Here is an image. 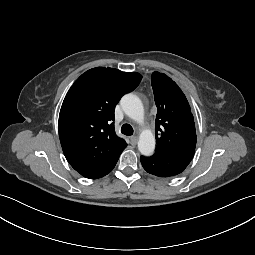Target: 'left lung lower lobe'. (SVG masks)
<instances>
[{"instance_id":"obj_1","label":"left lung lower lobe","mask_w":255,"mask_h":255,"mask_svg":"<svg viewBox=\"0 0 255 255\" xmlns=\"http://www.w3.org/2000/svg\"><path fill=\"white\" fill-rule=\"evenodd\" d=\"M194 153L195 151H169L154 154L150 157L141 156L140 161L148 173L161 178H171L185 170Z\"/></svg>"}]
</instances>
